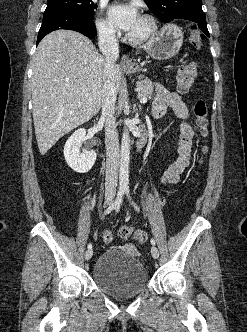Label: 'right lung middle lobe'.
Masks as SVG:
<instances>
[{"mask_svg": "<svg viewBox=\"0 0 247 332\" xmlns=\"http://www.w3.org/2000/svg\"><path fill=\"white\" fill-rule=\"evenodd\" d=\"M95 9H97V4L92 0H47V8L44 13L75 12L93 18Z\"/></svg>", "mask_w": 247, "mask_h": 332, "instance_id": "dd1d6c3e", "label": "right lung middle lobe"}]
</instances>
